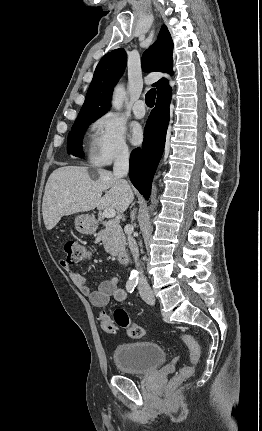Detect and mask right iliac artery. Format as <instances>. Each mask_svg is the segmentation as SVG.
Masks as SVG:
<instances>
[{"mask_svg": "<svg viewBox=\"0 0 262 431\" xmlns=\"http://www.w3.org/2000/svg\"><path fill=\"white\" fill-rule=\"evenodd\" d=\"M137 283L134 281H128L126 284V289L129 293H132L136 287Z\"/></svg>", "mask_w": 262, "mask_h": 431, "instance_id": "obj_1", "label": "right iliac artery"}]
</instances>
